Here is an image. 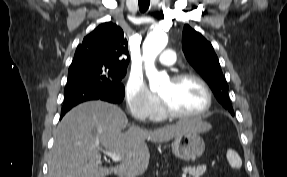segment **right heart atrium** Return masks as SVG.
<instances>
[{
    "label": "right heart atrium",
    "instance_id": "d8ad5b80",
    "mask_svg": "<svg viewBox=\"0 0 287 177\" xmlns=\"http://www.w3.org/2000/svg\"><path fill=\"white\" fill-rule=\"evenodd\" d=\"M125 100L130 114L145 121L154 118L159 110V99L139 76H131L125 86Z\"/></svg>",
    "mask_w": 287,
    "mask_h": 177
}]
</instances>
